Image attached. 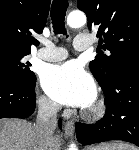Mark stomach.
Wrapping results in <instances>:
<instances>
[{
    "mask_svg": "<svg viewBox=\"0 0 139 150\" xmlns=\"http://www.w3.org/2000/svg\"><path fill=\"white\" fill-rule=\"evenodd\" d=\"M90 150H113L112 146L109 144H101L95 147H92Z\"/></svg>",
    "mask_w": 139,
    "mask_h": 150,
    "instance_id": "obj_1",
    "label": "stomach"
}]
</instances>
